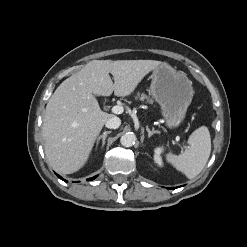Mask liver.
<instances>
[{
	"label": "liver",
	"instance_id": "obj_1",
	"mask_svg": "<svg viewBox=\"0 0 247 247\" xmlns=\"http://www.w3.org/2000/svg\"><path fill=\"white\" fill-rule=\"evenodd\" d=\"M162 62L155 60H93L64 80L49 99L42 134L47 160L59 173L71 174L87 162L111 114L94 95L129 96ZM109 73L113 75L114 83Z\"/></svg>",
	"mask_w": 247,
	"mask_h": 247
}]
</instances>
